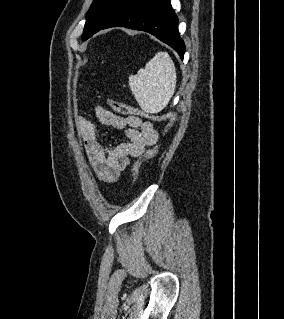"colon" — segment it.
<instances>
[{
	"instance_id": "colon-1",
	"label": "colon",
	"mask_w": 284,
	"mask_h": 319,
	"mask_svg": "<svg viewBox=\"0 0 284 319\" xmlns=\"http://www.w3.org/2000/svg\"><path fill=\"white\" fill-rule=\"evenodd\" d=\"M107 104L115 112L120 113V114H124V115H128V116H136L139 118L144 117V118L154 120V121H164V122H166V131H169L174 126V124L177 120L176 115L174 113H171V112L158 114V115H152V114L142 112L134 107L129 106L128 104H125L123 102H120V101H117L114 99H107ZM157 151L158 150L156 148L150 149L143 156H141L140 158H138L134 162V164L132 166V170H131L133 182H136L139 178L142 163L145 160L156 156Z\"/></svg>"
}]
</instances>
